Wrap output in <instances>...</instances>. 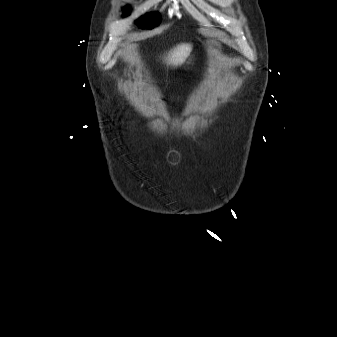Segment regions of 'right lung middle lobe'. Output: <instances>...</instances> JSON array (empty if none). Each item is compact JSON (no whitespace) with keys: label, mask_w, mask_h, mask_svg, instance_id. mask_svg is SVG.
<instances>
[{"label":"right lung middle lobe","mask_w":337,"mask_h":337,"mask_svg":"<svg viewBox=\"0 0 337 337\" xmlns=\"http://www.w3.org/2000/svg\"><path fill=\"white\" fill-rule=\"evenodd\" d=\"M129 9L124 11V14H129ZM160 23V15L154 14H147L141 17L139 20L136 21V24L141 28H149L152 29L154 26H157Z\"/></svg>","instance_id":"1"}]
</instances>
